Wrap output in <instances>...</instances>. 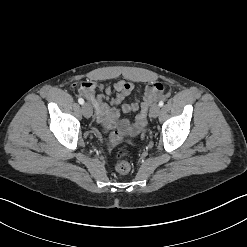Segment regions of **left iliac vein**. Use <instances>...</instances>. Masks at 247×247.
<instances>
[{
  "mask_svg": "<svg viewBox=\"0 0 247 247\" xmlns=\"http://www.w3.org/2000/svg\"><path fill=\"white\" fill-rule=\"evenodd\" d=\"M159 112H160V106L154 104L150 109V116L156 118L159 115Z\"/></svg>",
  "mask_w": 247,
  "mask_h": 247,
  "instance_id": "4c4485c4",
  "label": "left iliac vein"
}]
</instances>
